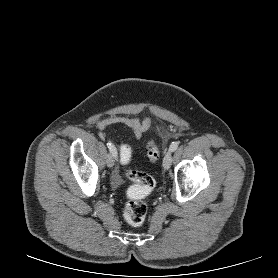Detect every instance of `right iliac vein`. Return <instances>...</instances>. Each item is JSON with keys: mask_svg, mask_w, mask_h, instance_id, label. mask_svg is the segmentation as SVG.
Listing matches in <instances>:
<instances>
[{"mask_svg": "<svg viewBox=\"0 0 278 278\" xmlns=\"http://www.w3.org/2000/svg\"><path fill=\"white\" fill-rule=\"evenodd\" d=\"M115 162V156L111 153L107 155L106 164L108 167H113Z\"/></svg>", "mask_w": 278, "mask_h": 278, "instance_id": "obj_1", "label": "right iliac vein"}]
</instances>
